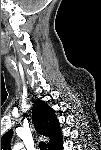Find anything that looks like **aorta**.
Masks as SVG:
<instances>
[{
	"label": "aorta",
	"instance_id": "obj_1",
	"mask_svg": "<svg viewBox=\"0 0 101 150\" xmlns=\"http://www.w3.org/2000/svg\"><path fill=\"white\" fill-rule=\"evenodd\" d=\"M22 148H23V144H22V143H17V144L13 147L14 150H22Z\"/></svg>",
	"mask_w": 101,
	"mask_h": 150
}]
</instances>
